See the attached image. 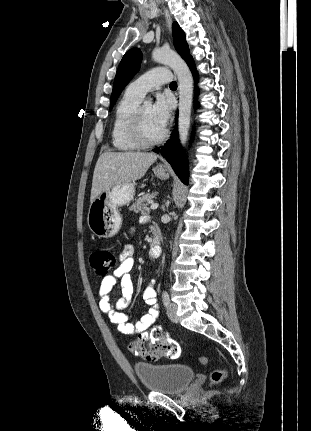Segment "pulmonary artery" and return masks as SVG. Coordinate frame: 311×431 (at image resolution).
<instances>
[{
	"instance_id": "pulmonary-artery-1",
	"label": "pulmonary artery",
	"mask_w": 311,
	"mask_h": 431,
	"mask_svg": "<svg viewBox=\"0 0 311 431\" xmlns=\"http://www.w3.org/2000/svg\"><path fill=\"white\" fill-rule=\"evenodd\" d=\"M172 80L171 73L164 67L150 69L129 84L127 90L141 98L150 90L161 87Z\"/></svg>"
}]
</instances>
